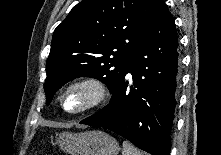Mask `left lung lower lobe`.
Here are the masks:
<instances>
[{
    "label": "left lung lower lobe",
    "instance_id": "1",
    "mask_svg": "<svg viewBox=\"0 0 221 155\" xmlns=\"http://www.w3.org/2000/svg\"><path fill=\"white\" fill-rule=\"evenodd\" d=\"M178 82V38L165 4L136 45L110 103L80 123L114 131L152 155H169Z\"/></svg>",
    "mask_w": 221,
    "mask_h": 155
}]
</instances>
